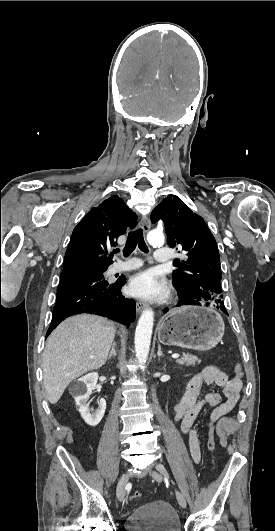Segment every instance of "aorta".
Segmentation results:
<instances>
[{
  "label": "aorta",
  "mask_w": 275,
  "mask_h": 531,
  "mask_svg": "<svg viewBox=\"0 0 275 531\" xmlns=\"http://www.w3.org/2000/svg\"><path fill=\"white\" fill-rule=\"evenodd\" d=\"M161 239H163V233H159V231H150L148 235L149 243H158ZM153 325L154 313L152 309H145V311H142L141 317L138 321L134 341L136 359H138L141 369H145L144 365L148 359Z\"/></svg>",
  "instance_id": "762f6f07"
}]
</instances>
